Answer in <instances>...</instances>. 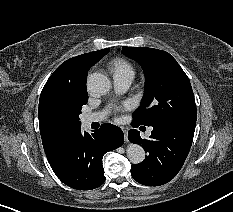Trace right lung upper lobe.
<instances>
[{"instance_id": "cb5924a9", "label": "right lung upper lobe", "mask_w": 233, "mask_h": 212, "mask_svg": "<svg viewBox=\"0 0 233 212\" xmlns=\"http://www.w3.org/2000/svg\"><path fill=\"white\" fill-rule=\"evenodd\" d=\"M110 49L82 54L63 62L49 77L39 100V126L46 156L55 152L71 131L57 127L50 120L48 105L57 96L87 91L88 70Z\"/></svg>"}]
</instances>
